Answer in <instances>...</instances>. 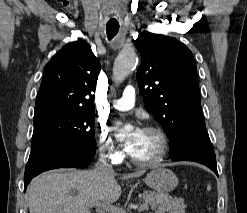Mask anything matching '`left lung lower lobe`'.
<instances>
[{"instance_id": "left-lung-lower-lobe-1", "label": "left lung lower lobe", "mask_w": 247, "mask_h": 213, "mask_svg": "<svg viewBox=\"0 0 247 213\" xmlns=\"http://www.w3.org/2000/svg\"><path fill=\"white\" fill-rule=\"evenodd\" d=\"M170 154L173 161L199 162L218 175L215 152L206 130H192L179 146L170 150Z\"/></svg>"}]
</instances>
